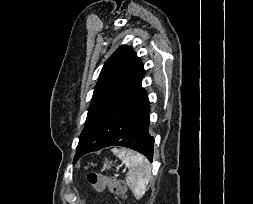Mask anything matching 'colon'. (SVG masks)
<instances>
[{"label": "colon", "mask_w": 253, "mask_h": 204, "mask_svg": "<svg viewBox=\"0 0 253 204\" xmlns=\"http://www.w3.org/2000/svg\"><path fill=\"white\" fill-rule=\"evenodd\" d=\"M87 180L95 191H101L106 186L117 195H123L126 191L125 184L122 181L104 174L91 172L87 175Z\"/></svg>", "instance_id": "5ec220e1"}]
</instances>
